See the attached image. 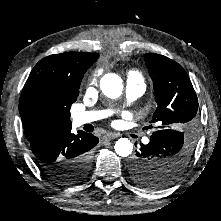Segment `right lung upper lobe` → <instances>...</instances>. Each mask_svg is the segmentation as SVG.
<instances>
[{
    "instance_id": "right-lung-upper-lobe-1",
    "label": "right lung upper lobe",
    "mask_w": 221,
    "mask_h": 221,
    "mask_svg": "<svg viewBox=\"0 0 221 221\" xmlns=\"http://www.w3.org/2000/svg\"><path fill=\"white\" fill-rule=\"evenodd\" d=\"M99 54L67 52L40 60L32 69L21 93L19 112L26 139L31 142L45 132L71 126L70 113L41 118L30 108L33 96L43 90H61L70 97H78L83 75Z\"/></svg>"
}]
</instances>
